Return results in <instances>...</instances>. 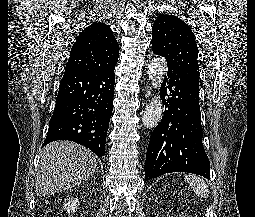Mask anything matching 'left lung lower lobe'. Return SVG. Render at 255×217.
<instances>
[{
  "instance_id": "left-lung-lower-lobe-1",
  "label": "left lung lower lobe",
  "mask_w": 255,
  "mask_h": 217,
  "mask_svg": "<svg viewBox=\"0 0 255 217\" xmlns=\"http://www.w3.org/2000/svg\"><path fill=\"white\" fill-rule=\"evenodd\" d=\"M165 105L161 122L150 136L145 181L170 172L210 177V163L202 144L199 81L168 68L160 88Z\"/></svg>"
}]
</instances>
